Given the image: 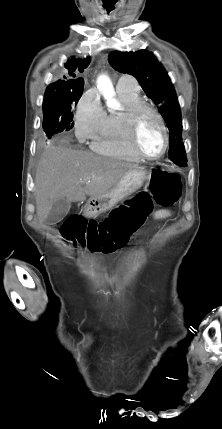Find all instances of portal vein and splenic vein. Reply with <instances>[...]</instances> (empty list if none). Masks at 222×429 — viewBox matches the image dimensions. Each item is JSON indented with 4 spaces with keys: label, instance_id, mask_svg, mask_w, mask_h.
I'll return each mask as SVG.
<instances>
[{
    "label": "portal vein and splenic vein",
    "instance_id": "1",
    "mask_svg": "<svg viewBox=\"0 0 222 429\" xmlns=\"http://www.w3.org/2000/svg\"><path fill=\"white\" fill-rule=\"evenodd\" d=\"M90 180H85V181H82V183H85V182H89Z\"/></svg>",
    "mask_w": 222,
    "mask_h": 429
}]
</instances>
